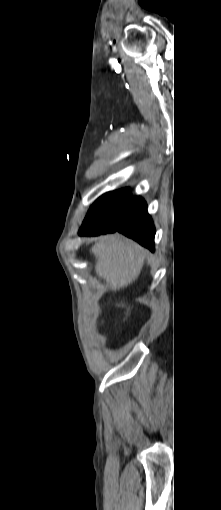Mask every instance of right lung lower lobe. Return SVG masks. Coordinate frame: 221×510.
Here are the masks:
<instances>
[{
    "label": "right lung lower lobe",
    "instance_id": "1",
    "mask_svg": "<svg viewBox=\"0 0 221 510\" xmlns=\"http://www.w3.org/2000/svg\"><path fill=\"white\" fill-rule=\"evenodd\" d=\"M115 231L154 251L155 228L147 213V204L141 197L131 196L123 216L118 220L101 216L90 208L79 230V235L94 236Z\"/></svg>",
    "mask_w": 221,
    "mask_h": 510
}]
</instances>
